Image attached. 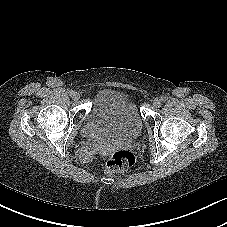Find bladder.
I'll list each match as a JSON object with an SVG mask.
<instances>
[{
	"label": "bladder",
	"instance_id": "31cf9c89",
	"mask_svg": "<svg viewBox=\"0 0 227 227\" xmlns=\"http://www.w3.org/2000/svg\"><path fill=\"white\" fill-rule=\"evenodd\" d=\"M90 121L97 129L98 138L107 144L132 142L143 129L134 102L114 90H105L99 95Z\"/></svg>",
	"mask_w": 227,
	"mask_h": 227
}]
</instances>
